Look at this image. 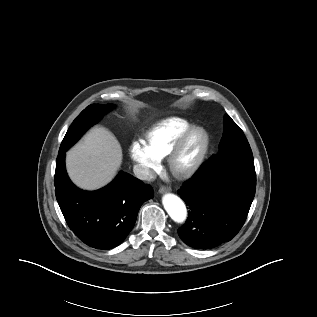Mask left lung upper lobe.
<instances>
[{
    "label": "left lung upper lobe",
    "mask_w": 317,
    "mask_h": 317,
    "mask_svg": "<svg viewBox=\"0 0 317 317\" xmlns=\"http://www.w3.org/2000/svg\"><path fill=\"white\" fill-rule=\"evenodd\" d=\"M223 137L218 155L238 154L253 159L250 145L239 126L229 115L224 116Z\"/></svg>",
    "instance_id": "left-lung-upper-lobe-1"
}]
</instances>
